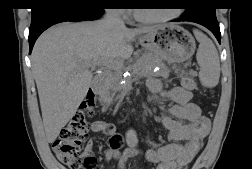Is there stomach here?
I'll list each match as a JSON object with an SVG mask.
<instances>
[{"label": "stomach", "instance_id": "obj_1", "mask_svg": "<svg viewBox=\"0 0 252 169\" xmlns=\"http://www.w3.org/2000/svg\"><path fill=\"white\" fill-rule=\"evenodd\" d=\"M140 44L168 63L183 62L195 52L193 36L175 24L161 25L156 30L141 35Z\"/></svg>", "mask_w": 252, "mask_h": 169}]
</instances>
